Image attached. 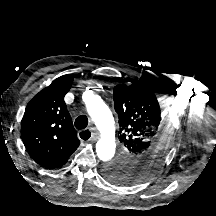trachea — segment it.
<instances>
[{
  "label": "trachea",
  "instance_id": "3493384b",
  "mask_svg": "<svg viewBox=\"0 0 216 216\" xmlns=\"http://www.w3.org/2000/svg\"><path fill=\"white\" fill-rule=\"evenodd\" d=\"M75 127L79 130L81 129H85L88 125V118L85 115H80L76 118L75 123H74ZM81 138L83 140H87L90 138V133H83L81 135Z\"/></svg>",
  "mask_w": 216,
  "mask_h": 216
}]
</instances>
